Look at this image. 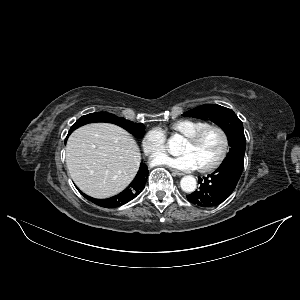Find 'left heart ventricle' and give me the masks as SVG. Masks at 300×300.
<instances>
[{
	"mask_svg": "<svg viewBox=\"0 0 300 300\" xmlns=\"http://www.w3.org/2000/svg\"><path fill=\"white\" fill-rule=\"evenodd\" d=\"M223 139L217 129L208 130L199 142L191 144L186 140L181 146V154H190L198 167L210 164L221 153Z\"/></svg>",
	"mask_w": 300,
	"mask_h": 300,
	"instance_id": "1",
	"label": "left heart ventricle"
}]
</instances>
